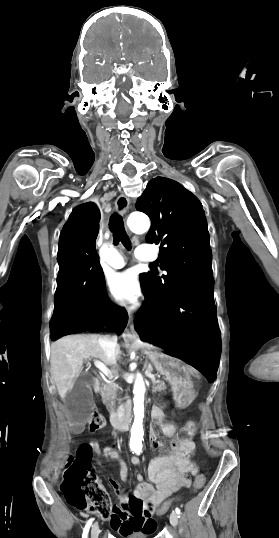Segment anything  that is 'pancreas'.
<instances>
[{
	"instance_id": "1",
	"label": "pancreas",
	"mask_w": 279,
	"mask_h": 538,
	"mask_svg": "<svg viewBox=\"0 0 279 538\" xmlns=\"http://www.w3.org/2000/svg\"><path fill=\"white\" fill-rule=\"evenodd\" d=\"M162 385H167V380H152V387H154L153 392L160 393L162 391ZM118 388V384L107 382V384H105V386H103V388L100 390L103 404L108 406L110 412H114V406L118 396Z\"/></svg>"
}]
</instances>
